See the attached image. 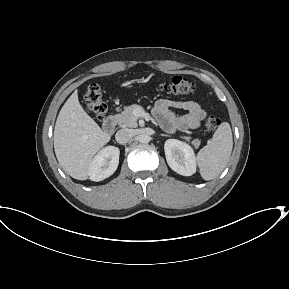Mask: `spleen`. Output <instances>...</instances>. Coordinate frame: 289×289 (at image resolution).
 <instances>
[{"label": "spleen", "instance_id": "spleen-1", "mask_svg": "<svg viewBox=\"0 0 289 289\" xmlns=\"http://www.w3.org/2000/svg\"><path fill=\"white\" fill-rule=\"evenodd\" d=\"M233 148V136L228 122H223L215 131L211 142L197 154V164L201 177L206 180L216 178L226 167Z\"/></svg>", "mask_w": 289, "mask_h": 289}]
</instances>
